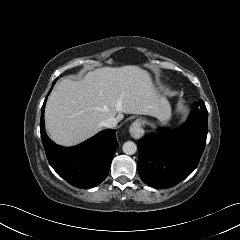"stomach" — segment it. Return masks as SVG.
I'll list each match as a JSON object with an SVG mask.
<instances>
[{
	"label": "stomach",
	"instance_id": "1",
	"mask_svg": "<svg viewBox=\"0 0 240 240\" xmlns=\"http://www.w3.org/2000/svg\"><path fill=\"white\" fill-rule=\"evenodd\" d=\"M170 117H171V111L164 115L157 116V119L159 120V122L161 124H166L168 122V120L170 119Z\"/></svg>",
	"mask_w": 240,
	"mask_h": 240
}]
</instances>
